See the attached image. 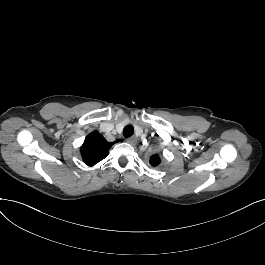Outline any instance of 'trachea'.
Masks as SVG:
<instances>
[{
  "label": "trachea",
  "mask_w": 265,
  "mask_h": 265,
  "mask_svg": "<svg viewBox=\"0 0 265 265\" xmlns=\"http://www.w3.org/2000/svg\"><path fill=\"white\" fill-rule=\"evenodd\" d=\"M133 133H134V128L131 125H127L123 130V135L125 136V138L131 137Z\"/></svg>",
  "instance_id": "trachea-1"
}]
</instances>
